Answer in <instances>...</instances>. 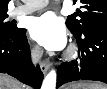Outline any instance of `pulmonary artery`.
I'll use <instances>...</instances> for the list:
<instances>
[{
  "label": "pulmonary artery",
  "instance_id": "obj_1",
  "mask_svg": "<svg viewBox=\"0 0 107 89\" xmlns=\"http://www.w3.org/2000/svg\"><path fill=\"white\" fill-rule=\"evenodd\" d=\"M48 0H31L26 5L15 8L12 12L13 16H20L32 13L46 7Z\"/></svg>",
  "mask_w": 107,
  "mask_h": 89
}]
</instances>
